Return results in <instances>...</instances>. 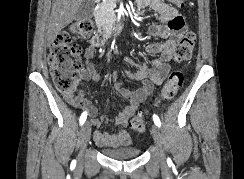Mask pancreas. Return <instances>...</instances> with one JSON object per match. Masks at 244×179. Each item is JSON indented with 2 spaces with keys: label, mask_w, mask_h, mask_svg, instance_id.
<instances>
[{
  "label": "pancreas",
  "mask_w": 244,
  "mask_h": 179,
  "mask_svg": "<svg viewBox=\"0 0 244 179\" xmlns=\"http://www.w3.org/2000/svg\"><path fill=\"white\" fill-rule=\"evenodd\" d=\"M115 6V0H105L103 4H100L98 14H101L103 20H110L112 12V8Z\"/></svg>",
  "instance_id": "1"
}]
</instances>
